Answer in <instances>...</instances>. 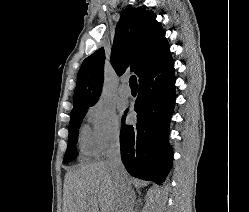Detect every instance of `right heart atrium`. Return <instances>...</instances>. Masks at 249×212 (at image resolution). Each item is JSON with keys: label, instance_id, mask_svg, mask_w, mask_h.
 <instances>
[{"label": "right heart atrium", "instance_id": "1", "mask_svg": "<svg viewBox=\"0 0 249 212\" xmlns=\"http://www.w3.org/2000/svg\"><path fill=\"white\" fill-rule=\"evenodd\" d=\"M85 122L88 126L86 139L92 154L102 157L119 146L120 123L110 106L103 102L92 104L85 112Z\"/></svg>", "mask_w": 249, "mask_h": 212}]
</instances>
